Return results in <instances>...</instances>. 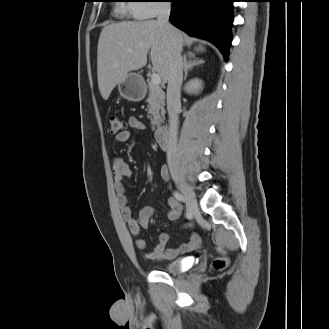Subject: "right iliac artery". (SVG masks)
Here are the masks:
<instances>
[{
	"mask_svg": "<svg viewBox=\"0 0 329 329\" xmlns=\"http://www.w3.org/2000/svg\"><path fill=\"white\" fill-rule=\"evenodd\" d=\"M173 195H174V197H175L178 201H180V202H185V198L183 197L182 194H180V193H178V192H174Z\"/></svg>",
	"mask_w": 329,
	"mask_h": 329,
	"instance_id": "obj_1",
	"label": "right iliac artery"
}]
</instances>
